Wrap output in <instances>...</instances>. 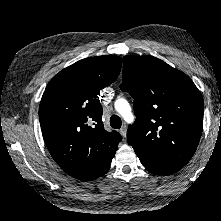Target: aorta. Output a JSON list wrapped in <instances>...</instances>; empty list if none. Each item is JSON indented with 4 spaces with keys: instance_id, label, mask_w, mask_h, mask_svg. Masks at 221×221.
<instances>
[{
    "instance_id": "1",
    "label": "aorta",
    "mask_w": 221,
    "mask_h": 221,
    "mask_svg": "<svg viewBox=\"0 0 221 221\" xmlns=\"http://www.w3.org/2000/svg\"><path fill=\"white\" fill-rule=\"evenodd\" d=\"M115 109L119 112L123 117L129 116L130 113V105L129 103L121 98L115 101Z\"/></svg>"
}]
</instances>
